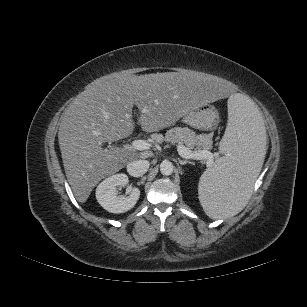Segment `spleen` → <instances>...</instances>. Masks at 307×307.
Here are the masks:
<instances>
[{"label":"spleen","mask_w":307,"mask_h":307,"mask_svg":"<svg viewBox=\"0 0 307 307\" xmlns=\"http://www.w3.org/2000/svg\"><path fill=\"white\" fill-rule=\"evenodd\" d=\"M218 158L202 175L199 201L212 219L240 212L252 196L262 163L267 158L263 118L255 104L237 94L228 102V124Z\"/></svg>","instance_id":"3e777b00"}]
</instances>
